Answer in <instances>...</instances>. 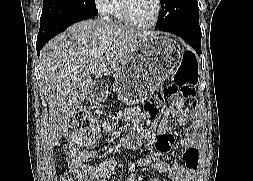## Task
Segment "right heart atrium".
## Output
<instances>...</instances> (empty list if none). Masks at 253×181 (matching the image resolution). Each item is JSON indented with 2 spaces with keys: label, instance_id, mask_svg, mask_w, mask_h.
<instances>
[{
  "label": "right heart atrium",
  "instance_id": "right-heart-atrium-1",
  "mask_svg": "<svg viewBox=\"0 0 253 181\" xmlns=\"http://www.w3.org/2000/svg\"><path fill=\"white\" fill-rule=\"evenodd\" d=\"M116 0H93V5L97 13L103 19H109L113 16Z\"/></svg>",
  "mask_w": 253,
  "mask_h": 181
}]
</instances>
